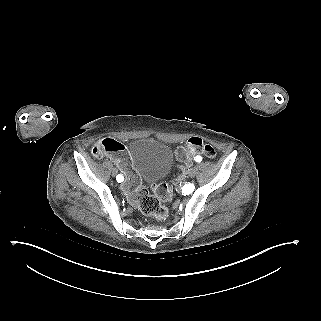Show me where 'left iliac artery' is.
Segmentation results:
<instances>
[{
  "label": "left iliac artery",
  "mask_w": 321,
  "mask_h": 321,
  "mask_svg": "<svg viewBox=\"0 0 321 321\" xmlns=\"http://www.w3.org/2000/svg\"><path fill=\"white\" fill-rule=\"evenodd\" d=\"M195 161L198 162V163L201 162V161H202L201 156H197V157L195 158Z\"/></svg>",
  "instance_id": "left-iliac-artery-1"
}]
</instances>
